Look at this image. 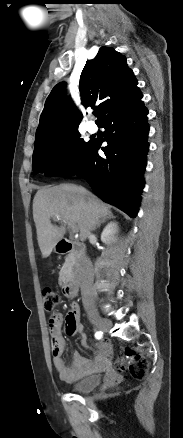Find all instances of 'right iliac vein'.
Masks as SVG:
<instances>
[{"label": "right iliac vein", "mask_w": 183, "mask_h": 438, "mask_svg": "<svg viewBox=\"0 0 183 438\" xmlns=\"http://www.w3.org/2000/svg\"><path fill=\"white\" fill-rule=\"evenodd\" d=\"M93 323L103 332H107L112 326V323L108 319L99 316L93 318Z\"/></svg>", "instance_id": "1"}]
</instances>
